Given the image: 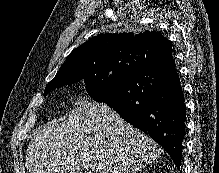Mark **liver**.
I'll use <instances>...</instances> for the list:
<instances>
[{
	"label": "liver",
	"mask_w": 219,
	"mask_h": 173,
	"mask_svg": "<svg viewBox=\"0 0 219 173\" xmlns=\"http://www.w3.org/2000/svg\"><path fill=\"white\" fill-rule=\"evenodd\" d=\"M160 151L108 105L88 102L39 127L25 165L29 173H137Z\"/></svg>",
	"instance_id": "6515ba94"
}]
</instances>
